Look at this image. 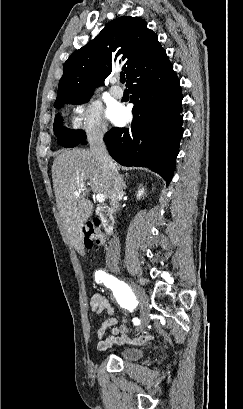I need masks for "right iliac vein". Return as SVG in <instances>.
I'll use <instances>...</instances> for the list:
<instances>
[{
  "mask_svg": "<svg viewBox=\"0 0 243 409\" xmlns=\"http://www.w3.org/2000/svg\"><path fill=\"white\" fill-rule=\"evenodd\" d=\"M129 284L132 287L136 297L140 302V326L139 329H144L149 323V310L147 305V298L144 291L136 285L134 282L129 280Z\"/></svg>",
  "mask_w": 243,
  "mask_h": 409,
  "instance_id": "63e3f726",
  "label": "right iliac vein"
}]
</instances>
